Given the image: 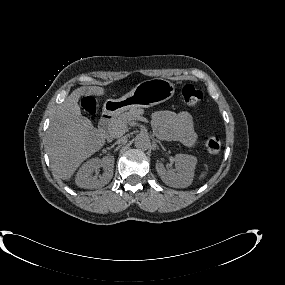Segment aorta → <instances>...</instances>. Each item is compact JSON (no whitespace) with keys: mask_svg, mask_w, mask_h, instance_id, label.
I'll return each mask as SVG.
<instances>
[{"mask_svg":"<svg viewBox=\"0 0 285 285\" xmlns=\"http://www.w3.org/2000/svg\"><path fill=\"white\" fill-rule=\"evenodd\" d=\"M134 144L135 147L140 150H147L150 147L151 142L147 134L140 133L136 136Z\"/></svg>","mask_w":285,"mask_h":285,"instance_id":"1","label":"aorta"}]
</instances>
